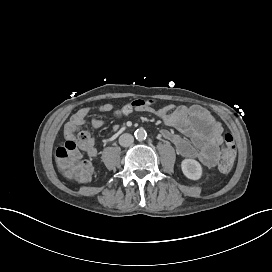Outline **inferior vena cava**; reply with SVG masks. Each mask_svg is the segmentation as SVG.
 <instances>
[{
  "mask_svg": "<svg viewBox=\"0 0 272 272\" xmlns=\"http://www.w3.org/2000/svg\"><path fill=\"white\" fill-rule=\"evenodd\" d=\"M134 137L129 133H124L119 137V144L122 147H129L133 144Z\"/></svg>",
  "mask_w": 272,
  "mask_h": 272,
  "instance_id": "inferior-vena-cava-1",
  "label": "inferior vena cava"
}]
</instances>
